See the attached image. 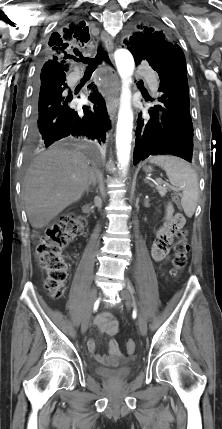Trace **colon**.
Segmentation results:
<instances>
[{
	"label": "colon",
	"instance_id": "1",
	"mask_svg": "<svg viewBox=\"0 0 222 429\" xmlns=\"http://www.w3.org/2000/svg\"><path fill=\"white\" fill-rule=\"evenodd\" d=\"M173 202L180 205L178 195L173 196ZM84 226L83 218L67 214L48 228L37 246V255L40 267L46 272V288L54 298H60L64 293V283L67 278L68 266L63 257L62 250L73 241ZM189 245L186 239V231L179 232V239L175 244L172 259L171 275L177 276L187 265ZM128 353L136 349L134 340L126 343Z\"/></svg>",
	"mask_w": 222,
	"mask_h": 429
}]
</instances>
